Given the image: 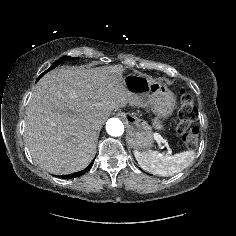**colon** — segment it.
Here are the masks:
<instances>
[{
	"label": "colon",
	"instance_id": "obj_1",
	"mask_svg": "<svg viewBox=\"0 0 236 236\" xmlns=\"http://www.w3.org/2000/svg\"><path fill=\"white\" fill-rule=\"evenodd\" d=\"M179 101V123L176 127V133L186 147L195 149L199 144L200 132L197 127L192 125L197 114L193 98L187 90L182 89L179 93Z\"/></svg>",
	"mask_w": 236,
	"mask_h": 236
}]
</instances>
